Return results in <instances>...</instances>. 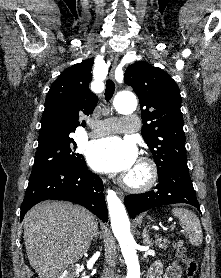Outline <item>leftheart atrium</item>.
<instances>
[{
	"label": "left heart atrium",
	"instance_id": "left-heart-atrium-1",
	"mask_svg": "<svg viewBox=\"0 0 221 278\" xmlns=\"http://www.w3.org/2000/svg\"><path fill=\"white\" fill-rule=\"evenodd\" d=\"M88 164L104 173H128L137 162V147L116 136L94 140L86 150Z\"/></svg>",
	"mask_w": 221,
	"mask_h": 278
}]
</instances>
